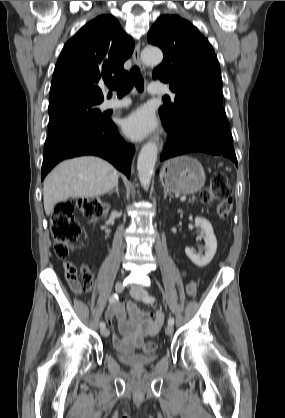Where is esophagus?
Here are the masks:
<instances>
[{
  "instance_id": "34e87169",
  "label": "esophagus",
  "mask_w": 285,
  "mask_h": 418,
  "mask_svg": "<svg viewBox=\"0 0 285 418\" xmlns=\"http://www.w3.org/2000/svg\"><path fill=\"white\" fill-rule=\"evenodd\" d=\"M132 57H133V61H134V63L142 70V71H144L145 70V65L143 64V62L141 61V58H140V42H138L137 44H136V46H135V49H134V51H133V55H132ZM152 139L157 143V145H158V147H159V150H161L162 149V147H163V141H162V139L158 136V135H154L153 137H152Z\"/></svg>"
}]
</instances>
